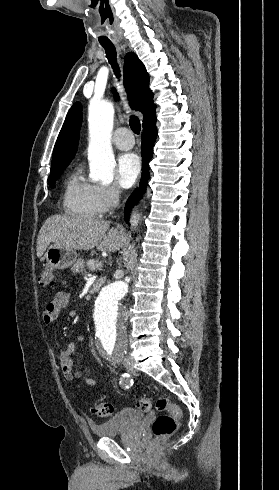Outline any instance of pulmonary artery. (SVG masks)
Here are the masks:
<instances>
[{
    "label": "pulmonary artery",
    "instance_id": "pulmonary-artery-1",
    "mask_svg": "<svg viewBox=\"0 0 279 490\" xmlns=\"http://www.w3.org/2000/svg\"><path fill=\"white\" fill-rule=\"evenodd\" d=\"M115 137V146L120 150H129L136 146V137H128V128H117Z\"/></svg>",
    "mask_w": 279,
    "mask_h": 490
}]
</instances>
